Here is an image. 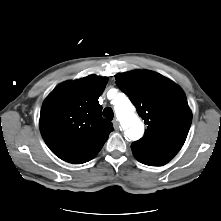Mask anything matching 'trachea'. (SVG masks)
<instances>
[{
    "instance_id": "3493384b",
    "label": "trachea",
    "mask_w": 221,
    "mask_h": 221,
    "mask_svg": "<svg viewBox=\"0 0 221 221\" xmlns=\"http://www.w3.org/2000/svg\"><path fill=\"white\" fill-rule=\"evenodd\" d=\"M103 116L108 119V120H112L113 117H114V113H113V110L110 108V107H106L104 110H103Z\"/></svg>"
}]
</instances>
